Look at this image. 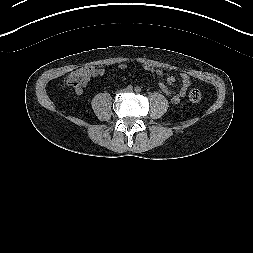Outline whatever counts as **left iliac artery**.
Wrapping results in <instances>:
<instances>
[{
  "label": "left iliac artery",
  "instance_id": "1",
  "mask_svg": "<svg viewBox=\"0 0 253 253\" xmlns=\"http://www.w3.org/2000/svg\"><path fill=\"white\" fill-rule=\"evenodd\" d=\"M135 91H136V92H140V91H141V88H140L139 86H137V87L135 88Z\"/></svg>",
  "mask_w": 253,
  "mask_h": 253
}]
</instances>
